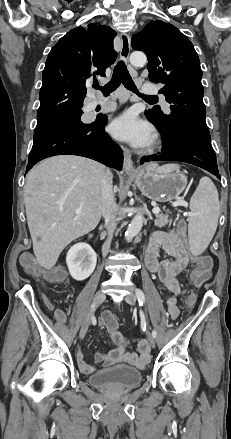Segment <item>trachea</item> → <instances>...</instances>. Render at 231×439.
<instances>
[{
	"label": "trachea",
	"instance_id": "1",
	"mask_svg": "<svg viewBox=\"0 0 231 439\" xmlns=\"http://www.w3.org/2000/svg\"><path fill=\"white\" fill-rule=\"evenodd\" d=\"M121 83L126 87V89L131 90L139 96H142L143 99L157 100L155 96L141 95L138 92V89L135 86L123 61H119L115 66L111 80L104 87L94 85V89H100L104 96H108L110 93L115 91Z\"/></svg>",
	"mask_w": 231,
	"mask_h": 439
}]
</instances>
